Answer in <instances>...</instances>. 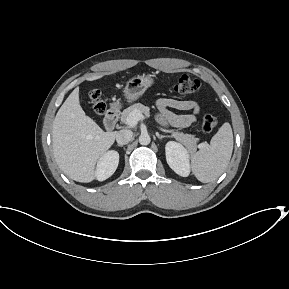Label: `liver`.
I'll list each match as a JSON object with an SVG mask.
<instances>
[{"instance_id": "6515ba94", "label": "liver", "mask_w": 289, "mask_h": 289, "mask_svg": "<svg viewBox=\"0 0 289 289\" xmlns=\"http://www.w3.org/2000/svg\"><path fill=\"white\" fill-rule=\"evenodd\" d=\"M93 75L88 81L100 79ZM116 132H104L80 106L76 87L58 110L53 122L52 147L59 168L69 178L88 183L95 179V165L112 146Z\"/></svg>"}]
</instances>
